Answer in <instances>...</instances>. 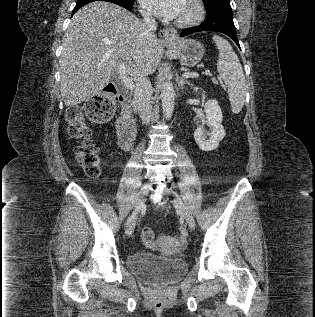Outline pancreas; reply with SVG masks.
<instances>
[{
  "label": "pancreas",
  "mask_w": 315,
  "mask_h": 317,
  "mask_svg": "<svg viewBox=\"0 0 315 317\" xmlns=\"http://www.w3.org/2000/svg\"><path fill=\"white\" fill-rule=\"evenodd\" d=\"M213 83L217 84V81L215 78H212Z\"/></svg>",
  "instance_id": "obj_1"
}]
</instances>
